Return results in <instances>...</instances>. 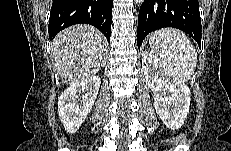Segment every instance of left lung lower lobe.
Returning <instances> with one entry per match:
<instances>
[{
  "instance_id": "left-lung-lower-lobe-1",
  "label": "left lung lower lobe",
  "mask_w": 231,
  "mask_h": 151,
  "mask_svg": "<svg viewBox=\"0 0 231 151\" xmlns=\"http://www.w3.org/2000/svg\"><path fill=\"white\" fill-rule=\"evenodd\" d=\"M164 27L188 33L201 46L198 0H144L138 16V48L149 33Z\"/></svg>"
}]
</instances>
